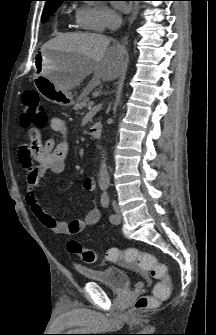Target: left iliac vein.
Wrapping results in <instances>:
<instances>
[{"mask_svg":"<svg viewBox=\"0 0 216 335\" xmlns=\"http://www.w3.org/2000/svg\"><path fill=\"white\" fill-rule=\"evenodd\" d=\"M112 205H113V208H114V211H115V215L117 217V219H116V221L114 223L115 224H119L122 221V215H121L119 206L117 205L116 202H113Z\"/></svg>","mask_w":216,"mask_h":335,"instance_id":"left-iliac-vein-1","label":"left iliac vein"}]
</instances>
